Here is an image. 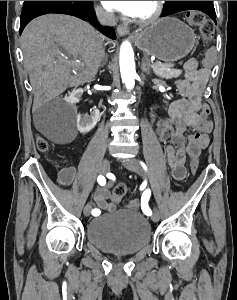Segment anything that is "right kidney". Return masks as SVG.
I'll list each match as a JSON object with an SVG mask.
<instances>
[{
  "mask_svg": "<svg viewBox=\"0 0 237 300\" xmlns=\"http://www.w3.org/2000/svg\"><path fill=\"white\" fill-rule=\"evenodd\" d=\"M83 95V89H76L72 91L70 97H68V103H71L72 107L76 109V103L80 101V97ZM100 119V113L98 109H94L91 115H78L77 117V129L80 133H89L94 129L96 123Z\"/></svg>",
  "mask_w": 237,
  "mask_h": 300,
  "instance_id": "obj_1",
  "label": "right kidney"
}]
</instances>
